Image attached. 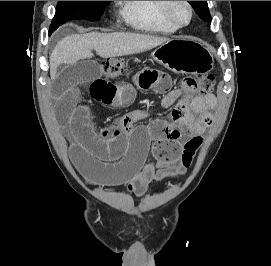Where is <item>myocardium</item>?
Listing matches in <instances>:
<instances>
[{"label":"myocardium","instance_id":"f54148a6","mask_svg":"<svg viewBox=\"0 0 271 266\" xmlns=\"http://www.w3.org/2000/svg\"><path fill=\"white\" fill-rule=\"evenodd\" d=\"M178 2L184 3L189 10V19L185 23L178 21L173 14V6ZM164 10L169 21L172 22L178 28L188 26L192 22L193 17H194V8L190 1H165Z\"/></svg>","mask_w":271,"mask_h":266}]
</instances>
